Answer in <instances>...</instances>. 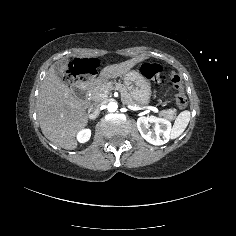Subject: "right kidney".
<instances>
[{"label": "right kidney", "mask_w": 236, "mask_h": 236, "mask_svg": "<svg viewBox=\"0 0 236 236\" xmlns=\"http://www.w3.org/2000/svg\"><path fill=\"white\" fill-rule=\"evenodd\" d=\"M92 131L90 128H83L76 132L75 139L79 144H85L91 138Z\"/></svg>", "instance_id": "right-kidney-1"}]
</instances>
